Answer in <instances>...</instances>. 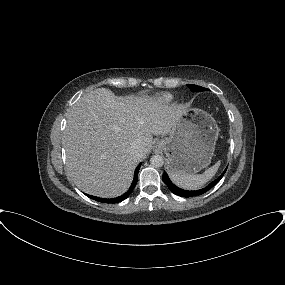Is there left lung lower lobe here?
I'll use <instances>...</instances> for the list:
<instances>
[{"mask_svg": "<svg viewBox=\"0 0 285 285\" xmlns=\"http://www.w3.org/2000/svg\"><path fill=\"white\" fill-rule=\"evenodd\" d=\"M225 171H224V173H225ZM224 173H222L216 180L211 182L207 187L200 189V190H194V191L183 190V189L175 186L171 182V180L169 179L166 172H164V174L162 176V180L174 194L181 196V197H192V196H198V195H201V194L207 192L209 189H211L214 185H216L220 181V179L223 177Z\"/></svg>", "mask_w": 285, "mask_h": 285, "instance_id": "1", "label": "left lung lower lobe"}]
</instances>
